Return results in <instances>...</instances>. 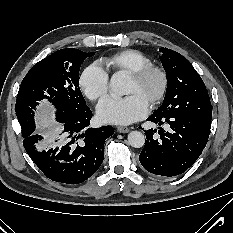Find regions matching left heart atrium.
<instances>
[{"label":"left heart atrium","mask_w":233,"mask_h":233,"mask_svg":"<svg viewBox=\"0 0 233 233\" xmlns=\"http://www.w3.org/2000/svg\"><path fill=\"white\" fill-rule=\"evenodd\" d=\"M147 111L148 103L138 94L107 96L97 106V117L104 123L125 125L143 118Z\"/></svg>","instance_id":"left-heart-atrium-1"}]
</instances>
